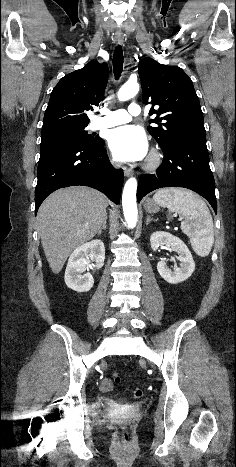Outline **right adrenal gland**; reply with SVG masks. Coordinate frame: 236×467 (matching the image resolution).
Listing matches in <instances>:
<instances>
[{
    "instance_id": "obj_1",
    "label": "right adrenal gland",
    "mask_w": 236,
    "mask_h": 467,
    "mask_svg": "<svg viewBox=\"0 0 236 467\" xmlns=\"http://www.w3.org/2000/svg\"><path fill=\"white\" fill-rule=\"evenodd\" d=\"M106 225H107V217L105 218L102 227H101V228L99 229V231L97 232V235H101L102 230H106V228H107Z\"/></svg>"
}]
</instances>
